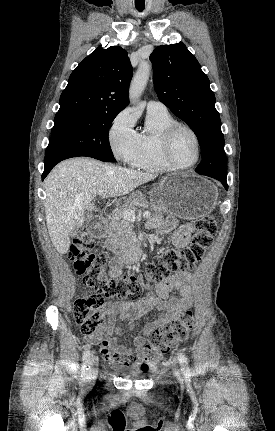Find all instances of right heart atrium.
Returning a JSON list of instances; mask_svg holds the SVG:
<instances>
[{
    "instance_id": "1",
    "label": "right heart atrium",
    "mask_w": 275,
    "mask_h": 431,
    "mask_svg": "<svg viewBox=\"0 0 275 431\" xmlns=\"http://www.w3.org/2000/svg\"><path fill=\"white\" fill-rule=\"evenodd\" d=\"M108 140L118 160L126 164L133 163L139 151V133L135 129V120L129 110L120 111L112 120Z\"/></svg>"
}]
</instances>
